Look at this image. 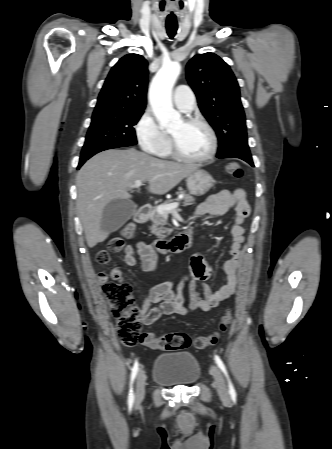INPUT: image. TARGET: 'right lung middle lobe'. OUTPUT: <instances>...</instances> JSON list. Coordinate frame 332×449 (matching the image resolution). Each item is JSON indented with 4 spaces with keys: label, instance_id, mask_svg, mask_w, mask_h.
I'll return each mask as SVG.
<instances>
[{
    "label": "right lung middle lobe",
    "instance_id": "1",
    "mask_svg": "<svg viewBox=\"0 0 332 449\" xmlns=\"http://www.w3.org/2000/svg\"><path fill=\"white\" fill-rule=\"evenodd\" d=\"M144 111H116L93 114L82 154L106 146H132L137 144L134 125Z\"/></svg>",
    "mask_w": 332,
    "mask_h": 449
}]
</instances>
